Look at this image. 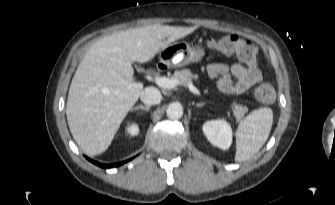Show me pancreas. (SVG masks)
<instances>
[{
    "instance_id": "obj_1",
    "label": "pancreas",
    "mask_w": 335,
    "mask_h": 205,
    "mask_svg": "<svg viewBox=\"0 0 335 205\" xmlns=\"http://www.w3.org/2000/svg\"><path fill=\"white\" fill-rule=\"evenodd\" d=\"M175 79L178 80L180 85H188L189 82H192V79L197 80L198 75L192 74L189 69H183L181 71H176L173 75ZM231 109L233 112L234 117L236 118V121H239L244 116L245 112L247 111V108L245 106L232 103Z\"/></svg>"
}]
</instances>
